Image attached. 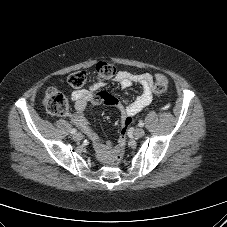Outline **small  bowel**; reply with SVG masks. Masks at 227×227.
<instances>
[{"label": "small bowel", "mask_w": 227, "mask_h": 227, "mask_svg": "<svg viewBox=\"0 0 227 227\" xmlns=\"http://www.w3.org/2000/svg\"><path fill=\"white\" fill-rule=\"evenodd\" d=\"M114 81L122 88H128L133 84H138L141 86L142 92L132 103L124 105L116 97L106 92L98 93L92 97L93 92L104 85V82L97 81L91 85L89 89L76 90L71 95L75 109L74 113L71 115V120L93 141L97 157L104 164L110 162L120 144V139L115 144L102 142L99 139L84 116L88 102L91 100L92 104L104 103L115 106L121 112L122 125L125 126L128 119H133V117L148 106L153 99V77L150 73H131L122 70L117 72Z\"/></svg>", "instance_id": "c3829d8e"}]
</instances>
